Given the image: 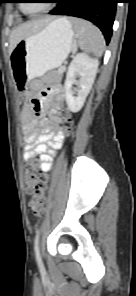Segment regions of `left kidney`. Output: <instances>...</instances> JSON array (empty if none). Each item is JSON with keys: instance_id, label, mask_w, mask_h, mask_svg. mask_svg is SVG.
<instances>
[{"instance_id": "left-kidney-1", "label": "left kidney", "mask_w": 136, "mask_h": 296, "mask_svg": "<svg viewBox=\"0 0 136 296\" xmlns=\"http://www.w3.org/2000/svg\"><path fill=\"white\" fill-rule=\"evenodd\" d=\"M98 65L99 61L97 59H93L85 53H78L70 63L64 88L66 103L71 112L77 113L83 107L94 83ZM77 75L80 76L79 80H76ZM73 84L79 87L77 96L73 95Z\"/></svg>"}]
</instances>
